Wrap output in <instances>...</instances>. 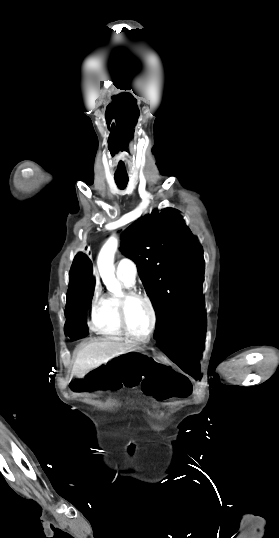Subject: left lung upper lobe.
Masks as SVG:
<instances>
[{"instance_id": "left-lung-upper-lobe-1", "label": "left lung upper lobe", "mask_w": 279, "mask_h": 538, "mask_svg": "<svg viewBox=\"0 0 279 538\" xmlns=\"http://www.w3.org/2000/svg\"><path fill=\"white\" fill-rule=\"evenodd\" d=\"M121 251L137 264L154 305V335H173L205 315L203 250L176 210L132 223L122 233Z\"/></svg>"}]
</instances>
